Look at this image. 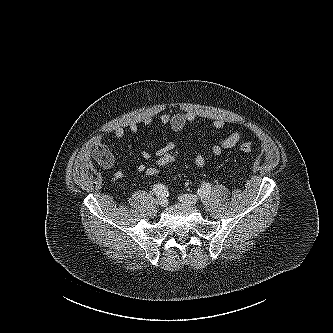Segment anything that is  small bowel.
<instances>
[{
	"label": "small bowel",
	"mask_w": 333,
	"mask_h": 333,
	"mask_svg": "<svg viewBox=\"0 0 333 333\" xmlns=\"http://www.w3.org/2000/svg\"><path fill=\"white\" fill-rule=\"evenodd\" d=\"M196 120V115L194 113H182L178 112L175 114L163 113L160 115L159 121L160 125L165 129H170L175 134H180L187 124L192 123ZM147 124L151 123V120L146 122ZM213 128L217 131H222L225 127V122L222 119H215L212 123ZM132 133L138 132V126L132 124L129 127ZM126 130L124 127L119 126L114 131V136L116 139H121L125 136ZM241 133L238 130H235L223 137L219 143H216L212 146L211 152L215 156H220L224 150L233 148L240 140ZM175 143L173 141H167L162 147L155 151L152 154L148 150H143L141 152V157L144 160H149L153 156L159 157L167 152L173 151L175 149ZM93 158L94 160L103 168L111 169L114 166V155L111 150L105 145L101 137H98L94 143L93 149ZM206 163L205 156L197 152L194 157V164L197 168H203ZM146 165L139 164L137 166V171L139 173H144ZM115 179H122L124 176L123 171L117 170L113 174Z\"/></svg>",
	"instance_id": "small-bowel-1"
}]
</instances>
